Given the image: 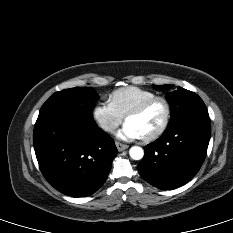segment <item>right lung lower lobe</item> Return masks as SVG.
Segmentation results:
<instances>
[{
  "label": "right lung lower lobe",
  "instance_id": "right-lung-lower-lobe-1",
  "mask_svg": "<svg viewBox=\"0 0 233 233\" xmlns=\"http://www.w3.org/2000/svg\"><path fill=\"white\" fill-rule=\"evenodd\" d=\"M33 143L40 170L59 192L87 197L105 182L117 148L92 119L70 113L38 117Z\"/></svg>",
  "mask_w": 233,
  "mask_h": 233
}]
</instances>
